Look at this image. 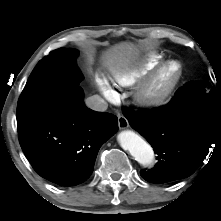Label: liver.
<instances>
[{
    "mask_svg": "<svg viewBox=\"0 0 221 221\" xmlns=\"http://www.w3.org/2000/svg\"><path fill=\"white\" fill-rule=\"evenodd\" d=\"M137 56V50L131 43H120L108 49L102 55L103 63L110 69L127 67Z\"/></svg>",
    "mask_w": 221,
    "mask_h": 221,
    "instance_id": "liver-1",
    "label": "liver"
}]
</instances>
